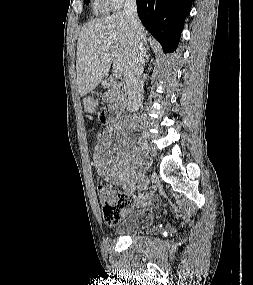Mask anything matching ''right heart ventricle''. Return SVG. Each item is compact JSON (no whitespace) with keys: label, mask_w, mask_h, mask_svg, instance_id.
Here are the masks:
<instances>
[{"label":"right heart ventricle","mask_w":253,"mask_h":285,"mask_svg":"<svg viewBox=\"0 0 253 285\" xmlns=\"http://www.w3.org/2000/svg\"><path fill=\"white\" fill-rule=\"evenodd\" d=\"M98 2H99L100 5L103 4L101 0H98Z\"/></svg>","instance_id":"right-heart-ventricle-1"}]
</instances>
